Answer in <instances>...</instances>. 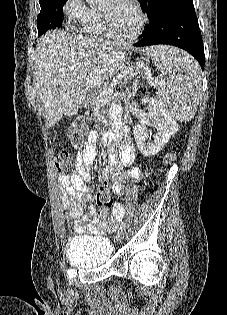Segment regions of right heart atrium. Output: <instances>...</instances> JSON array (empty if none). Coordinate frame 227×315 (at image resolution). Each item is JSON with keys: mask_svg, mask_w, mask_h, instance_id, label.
Wrapping results in <instances>:
<instances>
[{"mask_svg": "<svg viewBox=\"0 0 227 315\" xmlns=\"http://www.w3.org/2000/svg\"><path fill=\"white\" fill-rule=\"evenodd\" d=\"M91 9L83 0H66L63 5V13L71 24L80 25L89 16Z\"/></svg>", "mask_w": 227, "mask_h": 315, "instance_id": "obj_1", "label": "right heart atrium"}]
</instances>
